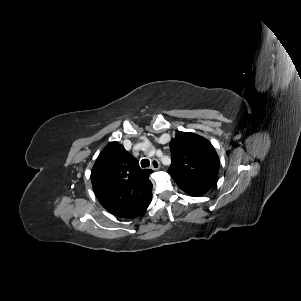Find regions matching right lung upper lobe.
Listing matches in <instances>:
<instances>
[{"instance_id": "right-lung-upper-lobe-1", "label": "right lung upper lobe", "mask_w": 301, "mask_h": 301, "mask_svg": "<svg viewBox=\"0 0 301 301\" xmlns=\"http://www.w3.org/2000/svg\"><path fill=\"white\" fill-rule=\"evenodd\" d=\"M152 170H143L123 145L109 143L98 156L91 181L96 197L110 213L135 218L148 208L152 198Z\"/></svg>"}]
</instances>
